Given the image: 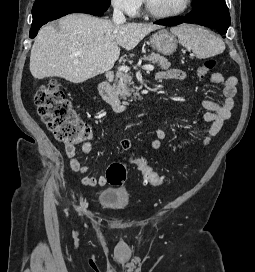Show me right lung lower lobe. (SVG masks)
<instances>
[{
  "label": "right lung lower lobe",
  "mask_w": 255,
  "mask_h": 272,
  "mask_svg": "<svg viewBox=\"0 0 255 272\" xmlns=\"http://www.w3.org/2000/svg\"><path fill=\"white\" fill-rule=\"evenodd\" d=\"M104 12V10L96 6L80 0H37L32 8L33 22L29 37L34 38L40 27L47 22L70 13H87L102 16Z\"/></svg>",
  "instance_id": "right-lung-lower-lobe-1"
}]
</instances>
